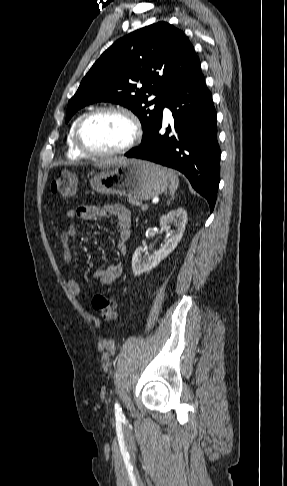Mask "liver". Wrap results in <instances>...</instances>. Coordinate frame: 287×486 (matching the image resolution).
<instances>
[{
	"label": "liver",
	"instance_id": "liver-1",
	"mask_svg": "<svg viewBox=\"0 0 287 486\" xmlns=\"http://www.w3.org/2000/svg\"><path fill=\"white\" fill-rule=\"evenodd\" d=\"M124 160H125V158L109 159L105 162H100V163L96 164L95 166H97V167H102V166L105 167L107 165L112 166V165H116L117 163L122 162Z\"/></svg>",
	"mask_w": 287,
	"mask_h": 486
}]
</instances>
